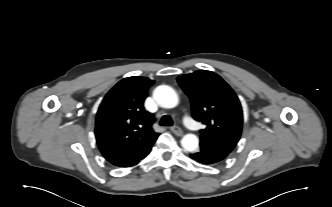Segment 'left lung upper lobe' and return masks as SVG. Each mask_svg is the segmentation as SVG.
<instances>
[{
    "label": "left lung upper lobe",
    "instance_id": "1",
    "mask_svg": "<svg viewBox=\"0 0 332 207\" xmlns=\"http://www.w3.org/2000/svg\"><path fill=\"white\" fill-rule=\"evenodd\" d=\"M178 83L191 100L192 116L205 124L200 145L230 153L242 131L243 114L238 97L217 74L200 70L181 75Z\"/></svg>",
    "mask_w": 332,
    "mask_h": 207
}]
</instances>
